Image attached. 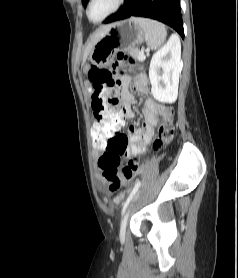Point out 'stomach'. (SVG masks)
Returning <instances> with one entry per match:
<instances>
[{
	"label": "stomach",
	"mask_w": 238,
	"mask_h": 278,
	"mask_svg": "<svg viewBox=\"0 0 238 278\" xmlns=\"http://www.w3.org/2000/svg\"><path fill=\"white\" fill-rule=\"evenodd\" d=\"M144 39L145 32L134 18L115 22L92 47L89 60L98 67H106L114 61L118 51H130Z\"/></svg>",
	"instance_id": "stomach-1"
}]
</instances>
